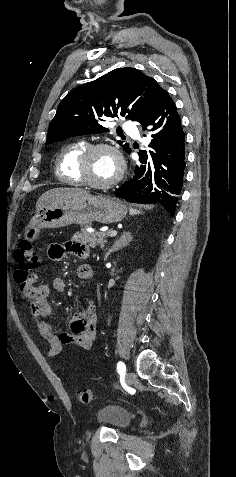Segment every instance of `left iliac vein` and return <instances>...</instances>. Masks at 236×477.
<instances>
[{
  "instance_id": "left-iliac-vein-1",
  "label": "left iliac vein",
  "mask_w": 236,
  "mask_h": 477,
  "mask_svg": "<svg viewBox=\"0 0 236 477\" xmlns=\"http://www.w3.org/2000/svg\"><path fill=\"white\" fill-rule=\"evenodd\" d=\"M136 376L132 371H128L125 375V381L128 385H132L135 382Z\"/></svg>"
}]
</instances>
